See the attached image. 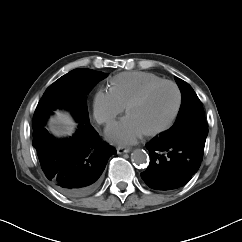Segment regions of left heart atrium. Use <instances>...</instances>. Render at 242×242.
<instances>
[{
	"label": "left heart atrium",
	"instance_id": "39dd6f15",
	"mask_svg": "<svg viewBox=\"0 0 242 242\" xmlns=\"http://www.w3.org/2000/svg\"><path fill=\"white\" fill-rule=\"evenodd\" d=\"M144 131L138 126L131 116H126L123 119L111 124L106 129L107 138L118 144H131L137 141Z\"/></svg>",
	"mask_w": 242,
	"mask_h": 242
}]
</instances>
